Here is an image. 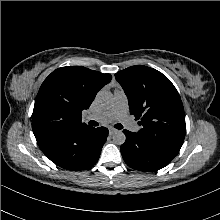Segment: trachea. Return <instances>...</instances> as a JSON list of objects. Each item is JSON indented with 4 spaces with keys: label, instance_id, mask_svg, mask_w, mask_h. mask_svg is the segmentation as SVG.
<instances>
[{
    "label": "trachea",
    "instance_id": "1",
    "mask_svg": "<svg viewBox=\"0 0 220 220\" xmlns=\"http://www.w3.org/2000/svg\"><path fill=\"white\" fill-rule=\"evenodd\" d=\"M90 124H91V125H94V124H97V123H96V122H90ZM114 127H115L116 129H122V128H123L122 124H115Z\"/></svg>",
    "mask_w": 220,
    "mask_h": 220
}]
</instances>
